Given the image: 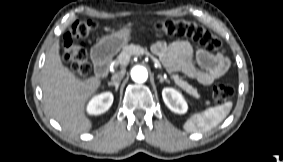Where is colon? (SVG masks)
I'll use <instances>...</instances> for the list:
<instances>
[{"instance_id":"5ec220e1","label":"colon","mask_w":283,"mask_h":162,"mask_svg":"<svg viewBox=\"0 0 283 162\" xmlns=\"http://www.w3.org/2000/svg\"><path fill=\"white\" fill-rule=\"evenodd\" d=\"M97 28L96 22L84 20L75 22L63 38V59L70 65L78 77L88 75L90 64L88 51L83 40ZM157 34L183 38L187 37L200 43L210 51L222 52L221 40L203 26L183 19H166L157 21L154 25ZM234 94L232 85L218 83L213 87L212 98L217 104L224 103Z\"/></svg>"}]
</instances>
